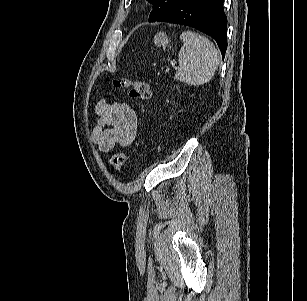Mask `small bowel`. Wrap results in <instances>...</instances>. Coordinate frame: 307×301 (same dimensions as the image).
<instances>
[{"label":"small bowel","instance_id":"small-bowel-1","mask_svg":"<svg viewBox=\"0 0 307 301\" xmlns=\"http://www.w3.org/2000/svg\"><path fill=\"white\" fill-rule=\"evenodd\" d=\"M99 117L92 140L103 153L116 144L126 147L135 138L138 122L134 108L126 102L99 100L95 106Z\"/></svg>","mask_w":307,"mask_h":301}]
</instances>
